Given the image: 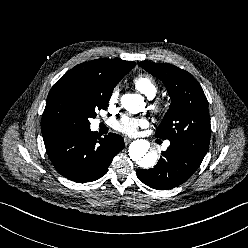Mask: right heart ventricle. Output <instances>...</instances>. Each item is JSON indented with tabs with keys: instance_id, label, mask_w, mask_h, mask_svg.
Returning <instances> with one entry per match:
<instances>
[{
	"instance_id": "e07e8e85",
	"label": "right heart ventricle",
	"mask_w": 248,
	"mask_h": 248,
	"mask_svg": "<svg viewBox=\"0 0 248 248\" xmlns=\"http://www.w3.org/2000/svg\"><path fill=\"white\" fill-rule=\"evenodd\" d=\"M133 84L138 91H140L148 98H153L158 91L157 83L151 76L147 74L136 76L133 79Z\"/></svg>"
}]
</instances>
